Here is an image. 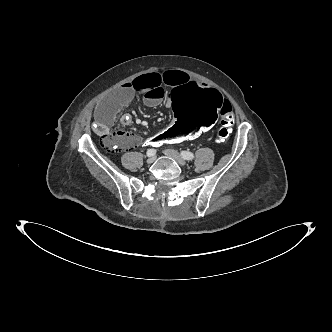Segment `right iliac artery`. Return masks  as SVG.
<instances>
[{
	"mask_svg": "<svg viewBox=\"0 0 332 332\" xmlns=\"http://www.w3.org/2000/svg\"><path fill=\"white\" fill-rule=\"evenodd\" d=\"M146 154H147L148 157L154 156L156 154V150L155 149H148Z\"/></svg>",
	"mask_w": 332,
	"mask_h": 332,
	"instance_id": "82829eb1",
	"label": "right iliac artery"
}]
</instances>
